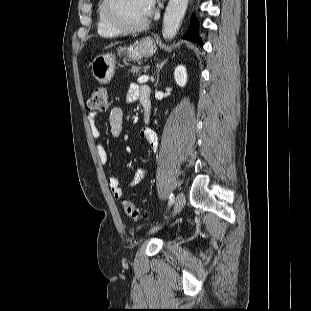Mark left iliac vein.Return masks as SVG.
Wrapping results in <instances>:
<instances>
[{"mask_svg":"<svg viewBox=\"0 0 311 311\" xmlns=\"http://www.w3.org/2000/svg\"><path fill=\"white\" fill-rule=\"evenodd\" d=\"M185 205V195L183 192H179L177 194V197H176V200H175V205H174V209H173V212H172V217L177 215L181 210L182 208L184 207ZM160 228V226H155L153 227L151 230H150V233H153L155 231H157L158 229Z\"/></svg>","mask_w":311,"mask_h":311,"instance_id":"left-iliac-vein-1","label":"left iliac vein"}]
</instances>
